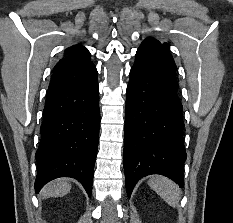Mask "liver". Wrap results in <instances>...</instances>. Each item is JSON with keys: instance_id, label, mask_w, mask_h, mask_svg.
Returning <instances> with one entry per match:
<instances>
[{"instance_id": "liver-1", "label": "liver", "mask_w": 233, "mask_h": 223, "mask_svg": "<svg viewBox=\"0 0 233 223\" xmlns=\"http://www.w3.org/2000/svg\"><path fill=\"white\" fill-rule=\"evenodd\" d=\"M71 189V183H68L66 179H57L55 183H49L46 187H43L42 193L44 197H63Z\"/></svg>"}]
</instances>
